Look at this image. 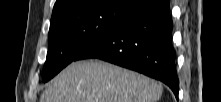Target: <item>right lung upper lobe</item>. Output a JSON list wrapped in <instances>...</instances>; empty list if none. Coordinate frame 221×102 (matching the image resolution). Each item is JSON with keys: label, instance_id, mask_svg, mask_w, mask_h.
I'll return each mask as SVG.
<instances>
[{"label": "right lung upper lobe", "instance_id": "1", "mask_svg": "<svg viewBox=\"0 0 221 102\" xmlns=\"http://www.w3.org/2000/svg\"><path fill=\"white\" fill-rule=\"evenodd\" d=\"M84 0H56L53 8L52 16L62 11L73 8ZM136 9L143 5L148 0H128Z\"/></svg>", "mask_w": 221, "mask_h": 102}]
</instances>
